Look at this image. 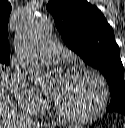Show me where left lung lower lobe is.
<instances>
[{"mask_svg":"<svg viewBox=\"0 0 125 128\" xmlns=\"http://www.w3.org/2000/svg\"><path fill=\"white\" fill-rule=\"evenodd\" d=\"M106 111H107V110H106ZM108 112H119V113L125 115V110H116V111H108Z\"/></svg>","mask_w":125,"mask_h":128,"instance_id":"obj_1","label":"left lung lower lobe"}]
</instances>
